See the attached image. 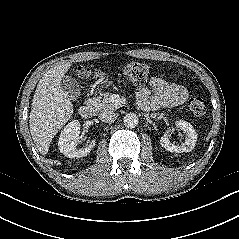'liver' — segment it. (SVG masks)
<instances>
[{
  "label": "liver",
  "mask_w": 239,
  "mask_h": 239,
  "mask_svg": "<svg viewBox=\"0 0 239 239\" xmlns=\"http://www.w3.org/2000/svg\"><path fill=\"white\" fill-rule=\"evenodd\" d=\"M70 62L50 68L40 79L31 104L30 133L42 155L48 153L57 132L73 114V104L61 88V79L71 67Z\"/></svg>",
  "instance_id": "obj_1"
}]
</instances>
